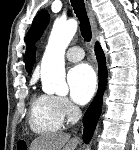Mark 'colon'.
I'll use <instances>...</instances> for the list:
<instances>
[{
  "label": "colon",
  "instance_id": "obj_1",
  "mask_svg": "<svg viewBox=\"0 0 139 150\" xmlns=\"http://www.w3.org/2000/svg\"><path fill=\"white\" fill-rule=\"evenodd\" d=\"M26 149H27V147H26L25 143H23V142L18 143L17 150H26Z\"/></svg>",
  "mask_w": 139,
  "mask_h": 150
}]
</instances>
